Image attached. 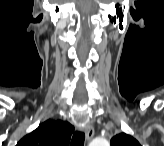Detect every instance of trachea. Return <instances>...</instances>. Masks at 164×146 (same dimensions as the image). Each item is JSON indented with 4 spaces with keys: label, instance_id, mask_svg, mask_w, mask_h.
Segmentation results:
<instances>
[{
    "label": "trachea",
    "instance_id": "3493384b",
    "mask_svg": "<svg viewBox=\"0 0 164 146\" xmlns=\"http://www.w3.org/2000/svg\"><path fill=\"white\" fill-rule=\"evenodd\" d=\"M85 140V134L83 132L76 131L71 140V146H83Z\"/></svg>",
    "mask_w": 164,
    "mask_h": 146
}]
</instances>
